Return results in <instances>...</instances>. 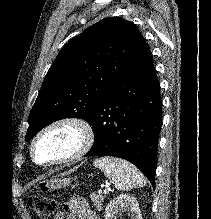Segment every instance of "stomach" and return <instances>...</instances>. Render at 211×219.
I'll use <instances>...</instances> for the list:
<instances>
[{
    "label": "stomach",
    "mask_w": 211,
    "mask_h": 219,
    "mask_svg": "<svg viewBox=\"0 0 211 219\" xmlns=\"http://www.w3.org/2000/svg\"><path fill=\"white\" fill-rule=\"evenodd\" d=\"M76 179L77 178L67 177V174L63 173L57 176L56 178L39 182L36 185V190L39 192H50L58 188L69 186L71 182Z\"/></svg>",
    "instance_id": "0dacf381"
}]
</instances>
